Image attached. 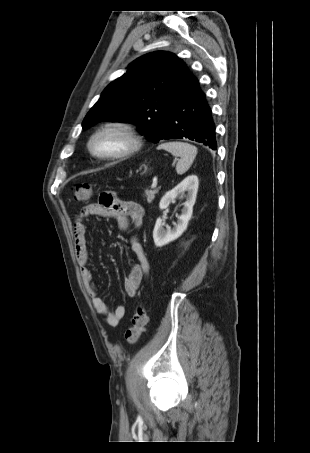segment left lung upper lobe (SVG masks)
<instances>
[{
  "instance_id": "obj_1",
  "label": "left lung upper lobe",
  "mask_w": 310,
  "mask_h": 453,
  "mask_svg": "<svg viewBox=\"0 0 310 453\" xmlns=\"http://www.w3.org/2000/svg\"><path fill=\"white\" fill-rule=\"evenodd\" d=\"M189 74L186 64L172 53L146 54L106 87L82 127L105 120L131 122L150 141L157 143Z\"/></svg>"
}]
</instances>
